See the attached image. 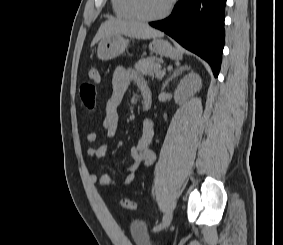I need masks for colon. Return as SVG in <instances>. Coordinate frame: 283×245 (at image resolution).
Masks as SVG:
<instances>
[{
	"label": "colon",
	"instance_id": "1",
	"mask_svg": "<svg viewBox=\"0 0 283 245\" xmlns=\"http://www.w3.org/2000/svg\"><path fill=\"white\" fill-rule=\"evenodd\" d=\"M88 77H89V81L92 82V83L99 82L100 73H99V70L97 69V67L92 66L89 69ZM120 204L123 208H125L127 210H135L137 208L136 203L134 201H132L131 199H128V198H122L120 200Z\"/></svg>",
	"mask_w": 283,
	"mask_h": 245
}]
</instances>
